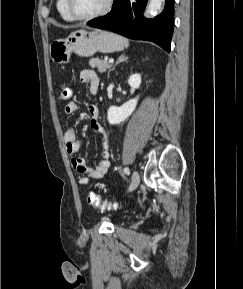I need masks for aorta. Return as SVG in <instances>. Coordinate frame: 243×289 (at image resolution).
Returning a JSON list of instances; mask_svg holds the SVG:
<instances>
[{
  "label": "aorta",
  "instance_id": "762f6f07",
  "mask_svg": "<svg viewBox=\"0 0 243 289\" xmlns=\"http://www.w3.org/2000/svg\"><path fill=\"white\" fill-rule=\"evenodd\" d=\"M163 2L164 0H150L146 9L145 15L147 17H150L154 15L155 13H157L161 9Z\"/></svg>",
  "mask_w": 243,
  "mask_h": 289
}]
</instances>
